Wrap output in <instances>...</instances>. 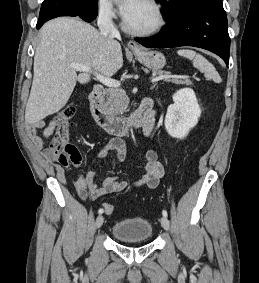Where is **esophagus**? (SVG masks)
Instances as JSON below:
<instances>
[{"label": "esophagus", "mask_w": 259, "mask_h": 283, "mask_svg": "<svg viewBox=\"0 0 259 283\" xmlns=\"http://www.w3.org/2000/svg\"><path fill=\"white\" fill-rule=\"evenodd\" d=\"M128 47L130 48V50H132L133 52H139L141 50V47L139 46L138 43H136L134 40H130L128 42Z\"/></svg>", "instance_id": "esophagus-1"}]
</instances>
